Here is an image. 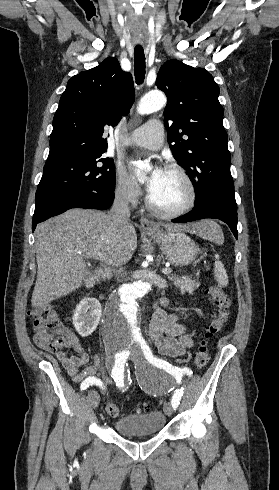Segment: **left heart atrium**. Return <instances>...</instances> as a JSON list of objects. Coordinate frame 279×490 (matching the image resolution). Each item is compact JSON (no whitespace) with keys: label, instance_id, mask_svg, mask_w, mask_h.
<instances>
[{"label":"left heart atrium","instance_id":"obj_1","mask_svg":"<svg viewBox=\"0 0 279 490\" xmlns=\"http://www.w3.org/2000/svg\"><path fill=\"white\" fill-rule=\"evenodd\" d=\"M165 170L159 165H155L152 171L149 173L146 180V191L149 197H154L158 193L163 178Z\"/></svg>","mask_w":279,"mask_h":490}]
</instances>
